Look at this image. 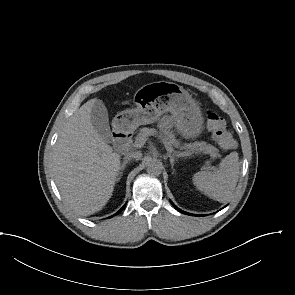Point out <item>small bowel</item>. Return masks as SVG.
Segmentation results:
<instances>
[{"label": "small bowel", "mask_w": 295, "mask_h": 295, "mask_svg": "<svg viewBox=\"0 0 295 295\" xmlns=\"http://www.w3.org/2000/svg\"><path fill=\"white\" fill-rule=\"evenodd\" d=\"M161 125L164 128H168L170 126V121L167 118H163L162 121H161Z\"/></svg>", "instance_id": "small-bowel-1"}]
</instances>
